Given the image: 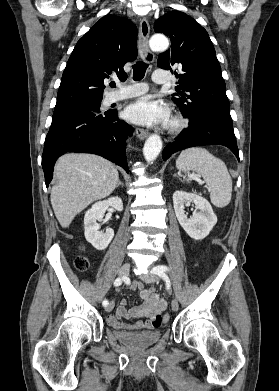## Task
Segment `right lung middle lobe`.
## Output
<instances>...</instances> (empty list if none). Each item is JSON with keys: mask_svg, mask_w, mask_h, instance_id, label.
Listing matches in <instances>:
<instances>
[{"mask_svg": "<svg viewBox=\"0 0 279 391\" xmlns=\"http://www.w3.org/2000/svg\"><path fill=\"white\" fill-rule=\"evenodd\" d=\"M100 105L101 101H93V102H85L76 104L70 107H66L59 110H54V114L62 113V112H72V111H82V110H89V111H97L100 112Z\"/></svg>", "mask_w": 279, "mask_h": 391, "instance_id": "dd1d6c3e", "label": "right lung middle lobe"}]
</instances>
